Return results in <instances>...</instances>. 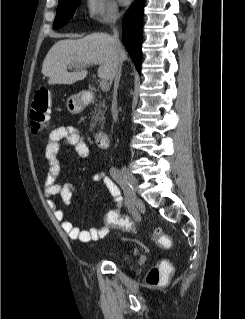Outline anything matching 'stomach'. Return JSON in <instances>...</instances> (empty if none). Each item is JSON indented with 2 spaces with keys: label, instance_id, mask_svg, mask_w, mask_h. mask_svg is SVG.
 Returning a JSON list of instances; mask_svg holds the SVG:
<instances>
[{
  "label": "stomach",
  "instance_id": "stomach-1",
  "mask_svg": "<svg viewBox=\"0 0 245 319\" xmlns=\"http://www.w3.org/2000/svg\"><path fill=\"white\" fill-rule=\"evenodd\" d=\"M66 107L69 113L79 114L83 111L85 104L79 94L72 95L67 99Z\"/></svg>",
  "mask_w": 245,
  "mask_h": 319
}]
</instances>
